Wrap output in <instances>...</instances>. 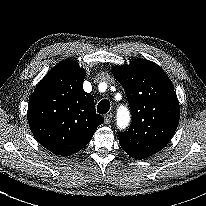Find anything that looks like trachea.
Here are the masks:
<instances>
[{
	"label": "trachea",
	"instance_id": "trachea-1",
	"mask_svg": "<svg viewBox=\"0 0 206 206\" xmlns=\"http://www.w3.org/2000/svg\"><path fill=\"white\" fill-rule=\"evenodd\" d=\"M110 109V102L106 99L99 102L97 106V112L100 114H106Z\"/></svg>",
	"mask_w": 206,
	"mask_h": 206
}]
</instances>
